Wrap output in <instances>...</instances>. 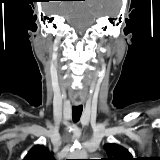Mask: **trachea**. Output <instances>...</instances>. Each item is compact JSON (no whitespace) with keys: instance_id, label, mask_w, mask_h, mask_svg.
Segmentation results:
<instances>
[{"instance_id":"1","label":"trachea","mask_w":160,"mask_h":160,"mask_svg":"<svg viewBox=\"0 0 160 160\" xmlns=\"http://www.w3.org/2000/svg\"><path fill=\"white\" fill-rule=\"evenodd\" d=\"M83 111V106H73L72 107V118L74 122H78Z\"/></svg>"}]
</instances>
